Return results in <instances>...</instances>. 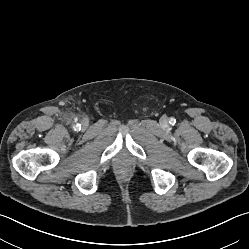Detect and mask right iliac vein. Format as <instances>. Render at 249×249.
Masks as SVG:
<instances>
[{
  "label": "right iliac vein",
  "instance_id": "obj_1",
  "mask_svg": "<svg viewBox=\"0 0 249 249\" xmlns=\"http://www.w3.org/2000/svg\"><path fill=\"white\" fill-rule=\"evenodd\" d=\"M83 126H86L88 124V122L86 120H83Z\"/></svg>",
  "mask_w": 249,
  "mask_h": 249
}]
</instances>
